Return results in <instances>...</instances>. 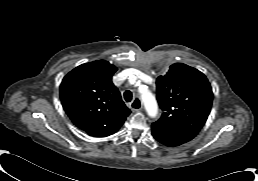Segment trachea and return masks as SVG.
<instances>
[{
    "mask_svg": "<svg viewBox=\"0 0 258 181\" xmlns=\"http://www.w3.org/2000/svg\"><path fill=\"white\" fill-rule=\"evenodd\" d=\"M124 99L126 102H130L132 100V92L127 90L124 92Z\"/></svg>",
    "mask_w": 258,
    "mask_h": 181,
    "instance_id": "3493384b",
    "label": "trachea"
}]
</instances>
